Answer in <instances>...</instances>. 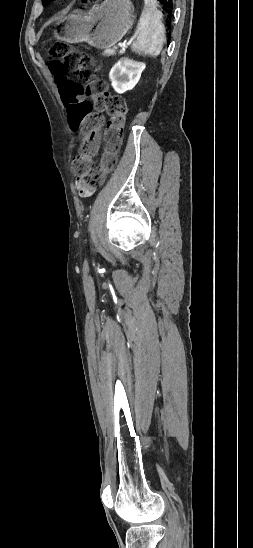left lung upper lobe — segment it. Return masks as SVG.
<instances>
[{"mask_svg": "<svg viewBox=\"0 0 253 548\" xmlns=\"http://www.w3.org/2000/svg\"><path fill=\"white\" fill-rule=\"evenodd\" d=\"M51 1H52V0H42V2H43L44 5L49 4Z\"/></svg>", "mask_w": 253, "mask_h": 548, "instance_id": "obj_1", "label": "left lung upper lobe"}]
</instances>
